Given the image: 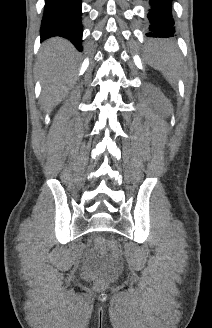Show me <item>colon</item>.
<instances>
[{"label":"colon","mask_w":212,"mask_h":328,"mask_svg":"<svg viewBox=\"0 0 212 328\" xmlns=\"http://www.w3.org/2000/svg\"><path fill=\"white\" fill-rule=\"evenodd\" d=\"M96 244L101 250H105L106 248L110 251L112 258L115 261H118L122 256L121 246L116 240H108L105 241L103 238L98 237L96 239Z\"/></svg>","instance_id":"colon-1"}]
</instances>
